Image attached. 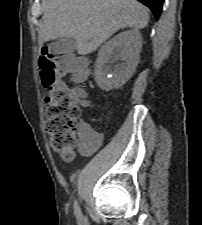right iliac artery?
I'll list each match as a JSON object with an SVG mask.
<instances>
[{"label":"right iliac artery","instance_id":"1","mask_svg":"<svg viewBox=\"0 0 202 225\" xmlns=\"http://www.w3.org/2000/svg\"><path fill=\"white\" fill-rule=\"evenodd\" d=\"M74 213L76 215V218L79 221H82L83 220V216H82V213H81V210L79 208V205H78L77 201L74 202Z\"/></svg>","mask_w":202,"mask_h":225}]
</instances>
